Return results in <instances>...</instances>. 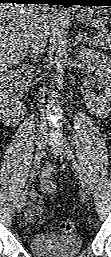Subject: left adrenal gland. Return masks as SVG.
I'll return each mask as SVG.
<instances>
[{"label":"left adrenal gland","mask_w":111,"mask_h":257,"mask_svg":"<svg viewBox=\"0 0 111 257\" xmlns=\"http://www.w3.org/2000/svg\"><path fill=\"white\" fill-rule=\"evenodd\" d=\"M83 38L88 39L86 35H83L81 29L79 28L78 35L75 38L74 45L78 44Z\"/></svg>","instance_id":"obj_1"}]
</instances>
